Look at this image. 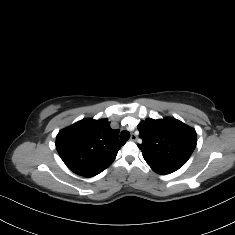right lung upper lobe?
Returning <instances> with one entry per match:
<instances>
[{
    "label": "right lung upper lobe",
    "mask_w": 235,
    "mask_h": 235,
    "mask_svg": "<svg viewBox=\"0 0 235 235\" xmlns=\"http://www.w3.org/2000/svg\"><path fill=\"white\" fill-rule=\"evenodd\" d=\"M118 133L110 128L108 119H83L58 133L56 149L71 171L92 177L105 170L125 144Z\"/></svg>",
    "instance_id": "obj_1"
}]
</instances>
